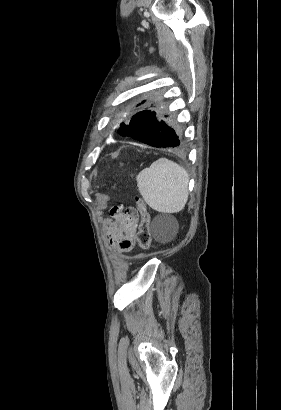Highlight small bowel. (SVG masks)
Listing matches in <instances>:
<instances>
[{"label": "small bowel", "mask_w": 281, "mask_h": 410, "mask_svg": "<svg viewBox=\"0 0 281 410\" xmlns=\"http://www.w3.org/2000/svg\"><path fill=\"white\" fill-rule=\"evenodd\" d=\"M115 221L108 230V239L118 254L130 252L135 244L138 217L114 216Z\"/></svg>", "instance_id": "1"}]
</instances>
